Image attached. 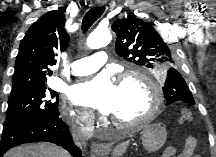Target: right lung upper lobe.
<instances>
[{
	"label": "right lung upper lobe",
	"instance_id": "obj_1",
	"mask_svg": "<svg viewBox=\"0 0 216 157\" xmlns=\"http://www.w3.org/2000/svg\"><path fill=\"white\" fill-rule=\"evenodd\" d=\"M64 24V12L58 9L41 16L27 30L19 46L11 93L46 86L57 52L66 50L69 43Z\"/></svg>",
	"mask_w": 216,
	"mask_h": 157
}]
</instances>
